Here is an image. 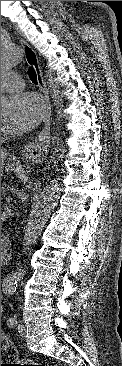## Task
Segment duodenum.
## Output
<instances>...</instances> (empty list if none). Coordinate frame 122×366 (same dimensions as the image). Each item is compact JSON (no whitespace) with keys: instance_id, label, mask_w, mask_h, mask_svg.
<instances>
[{"instance_id":"410a0bca","label":"duodenum","mask_w":122,"mask_h":366,"mask_svg":"<svg viewBox=\"0 0 122 366\" xmlns=\"http://www.w3.org/2000/svg\"><path fill=\"white\" fill-rule=\"evenodd\" d=\"M11 244L7 238L1 239V253L3 252H10ZM18 275H15V279H18ZM13 281V280H12Z\"/></svg>"}]
</instances>
